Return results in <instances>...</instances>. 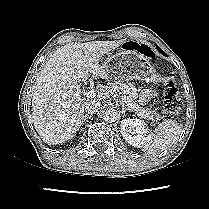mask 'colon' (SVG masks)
<instances>
[{"mask_svg":"<svg viewBox=\"0 0 209 209\" xmlns=\"http://www.w3.org/2000/svg\"><path fill=\"white\" fill-rule=\"evenodd\" d=\"M126 49L139 52L147 58L154 57V51L148 44H139L130 42L126 44ZM182 107V98L175 85L169 82L164 89L163 93V112L167 118L174 117Z\"/></svg>","mask_w":209,"mask_h":209,"instance_id":"obj_1","label":"colon"}]
</instances>
